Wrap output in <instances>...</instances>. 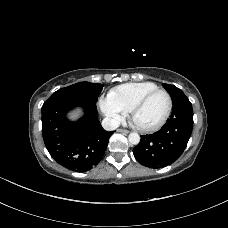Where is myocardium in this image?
Masks as SVG:
<instances>
[{
    "instance_id": "1",
    "label": "myocardium",
    "mask_w": 228,
    "mask_h": 228,
    "mask_svg": "<svg viewBox=\"0 0 228 228\" xmlns=\"http://www.w3.org/2000/svg\"><path fill=\"white\" fill-rule=\"evenodd\" d=\"M157 93H164L167 96V100H168V105L166 108V111L163 115V117L154 125L152 126H147V127H143V126H139L135 123L134 121V114L136 113V111L138 109H140L153 95L157 94ZM172 107H173V99L172 96L170 95V93L162 88H157L155 90H152L148 93H146L144 96H142L139 100H137L132 107L129 110V115H130V119L133 122V124L141 131L143 132H153L158 130L159 128H161L165 122L167 121V119L169 118L171 111H172Z\"/></svg>"
}]
</instances>
